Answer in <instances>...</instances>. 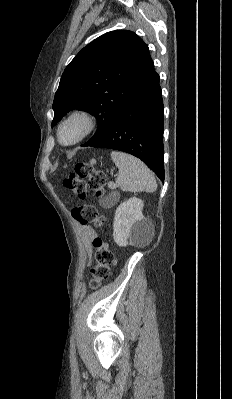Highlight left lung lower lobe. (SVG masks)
I'll return each instance as SVG.
<instances>
[{"mask_svg":"<svg viewBox=\"0 0 232 399\" xmlns=\"http://www.w3.org/2000/svg\"><path fill=\"white\" fill-rule=\"evenodd\" d=\"M164 105L159 75L149 56L140 78L109 131L91 147L127 152L164 181Z\"/></svg>","mask_w":232,"mask_h":399,"instance_id":"left-lung-lower-lobe-1","label":"left lung lower lobe"}]
</instances>
